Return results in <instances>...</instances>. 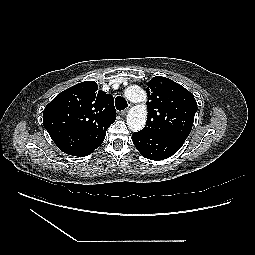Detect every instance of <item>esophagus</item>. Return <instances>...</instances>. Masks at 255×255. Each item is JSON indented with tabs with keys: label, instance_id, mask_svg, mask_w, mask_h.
Instances as JSON below:
<instances>
[{
	"label": "esophagus",
	"instance_id": "34e87169",
	"mask_svg": "<svg viewBox=\"0 0 255 255\" xmlns=\"http://www.w3.org/2000/svg\"><path fill=\"white\" fill-rule=\"evenodd\" d=\"M128 110H129V108H127V109L121 111V115L125 116V115L128 113Z\"/></svg>",
	"mask_w": 255,
	"mask_h": 255
}]
</instances>
